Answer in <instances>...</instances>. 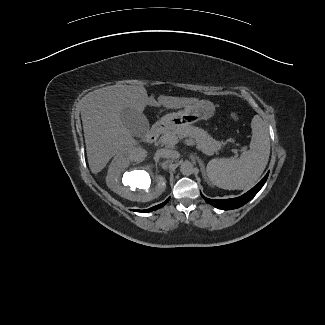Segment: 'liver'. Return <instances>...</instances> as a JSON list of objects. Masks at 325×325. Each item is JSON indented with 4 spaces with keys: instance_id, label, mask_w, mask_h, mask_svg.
Returning a JSON list of instances; mask_svg holds the SVG:
<instances>
[{
    "instance_id": "obj_1",
    "label": "liver",
    "mask_w": 325,
    "mask_h": 325,
    "mask_svg": "<svg viewBox=\"0 0 325 325\" xmlns=\"http://www.w3.org/2000/svg\"><path fill=\"white\" fill-rule=\"evenodd\" d=\"M199 101L197 98L164 95L156 101L148 97L143 85H112L88 93L83 98L81 118L91 172L102 171L115 155H131L136 159L146 157L145 150L122 122L124 109L142 113L147 105L178 109Z\"/></svg>"
}]
</instances>
